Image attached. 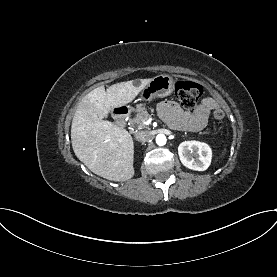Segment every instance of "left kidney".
Here are the masks:
<instances>
[{
  "mask_svg": "<svg viewBox=\"0 0 277 277\" xmlns=\"http://www.w3.org/2000/svg\"><path fill=\"white\" fill-rule=\"evenodd\" d=\"M178 154L182 164L195 171L206 170L212 159L209 145L199 141L182 142L178 147Z\"/></svg>",
  "mask_w": 277,
  "mask_h": 277,
  "instance_id": "left-kidney-1",
  "label": "left kidney"
}]
</instances>
